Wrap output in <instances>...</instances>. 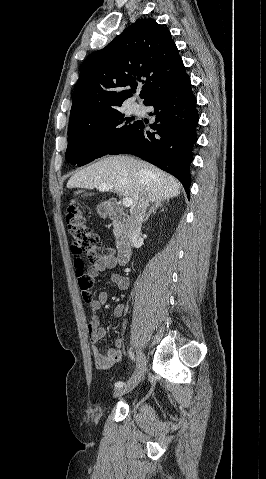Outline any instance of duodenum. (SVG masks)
Wrapping results in <instances>:
<instances>
[{"instance_id":"410a0bca","label":"duodenum","mask_w":266,"mask_h":479,"mask_svg":"<svg viewBox=\"0 0 266 479\" xmlns=\"http://www.w3.org/2000/svg\"><path fill=\"white\" fill-rule=\"evenodd\" d=\"M107 215L119 226V240L117 244L116 263L126 264L132 255V240L129 227L133 224L132 218L115 201L109 202L105 206Z\"/></svg>"}]
</instances>
